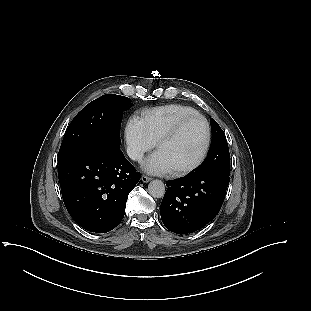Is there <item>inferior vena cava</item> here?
<instances>
[{
	"label": "inferior vena cava",
	"instance_id": "602c4592",
	"mask_svg": "<svg viewBox=\"0 0 311 311\" xmlns=\"http://www.w3.org/2000/svg\"><path fill=\"white\" fill-rule=\"evenodd\" d=\"M127 154L132 160L140 161L142 160L143 154L134 148L128 147Z\"/></svg>",
	"mask_w": 311,
	"mask_h": 311
}]
</instances>
